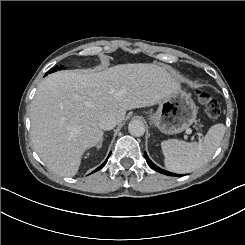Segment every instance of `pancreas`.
<instances>
[{
	"label": "pancreas",
	"instance_id": "pancreas-1",
	"mask_svg": "<svg viewBox=\"0 0 245 245\" xmlns=\"http://www.w3.org/2000/svg\"><path fill=\"white\" fill-rule=\"evenodd\" d=\"M196 126H200V127H202V125H200V124H196Z\"/></svg>",
	"mask_w": 245,
	"mask_h": 245
}]
</instances>
